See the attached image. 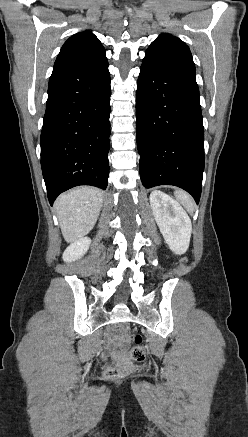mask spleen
I'll return each instance as SVG.
<instances>
[{
	"label": "spleen",
	"mask_w": 248,
	"mask_h": 437,
	"mask_svg": "<svg viewBox=\"0 0 248 437\" xmlns=\"http://www.w3.org/2000/svg\"><path fill=\"white\" fill-rule=\"evenodd\" d=\"M174 194L176 200L182 204L190 214H192L194 211V202L191 196L182 190H176Z\"/></svg>",
	"instance_id": "spleen-1"
}]
</instances>
